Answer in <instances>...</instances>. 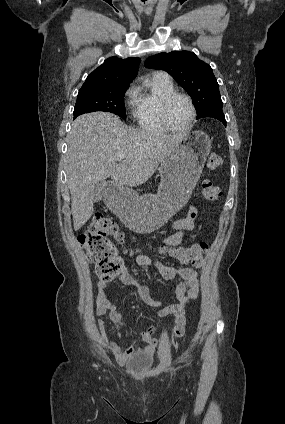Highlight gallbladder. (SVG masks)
I'll return each instance as SVG.
<instances>
[{"mask_svg": "<svg viewBox=\"0 0 285 424\" xmlns=\"http://www.w3.org/2000/svg\"><path fill=\"white\" fill-rule=\"evenodd\" d=\"M107 186L108 183L104 180H101L94 185L93 193L95 202H99L103 198Z\"/></svg>", "mask_w": 285, "mask_h": 424, "instance_id": "bac80fb5", "label": "gallbladder"}]
</instances>
